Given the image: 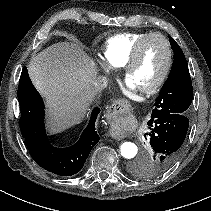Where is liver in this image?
Returning <instances> with one entry per match:
<instances>
[{"label":"liver","mask_w":211,"mask_h":211,"mask_svg":"<svg viewBox=\"0 0 211 211\" xmlns=\"http://www.w3.org/2000/svg\"><path fill=\"white\" fill-rule=\"evenodd\" d=\"M28 72L46 99L51 133L79 123L99 91L95 63L76 43L59 42L44 49L31 59Z\"/></svg>","instance_id":"liver-1"}]
</instances>
